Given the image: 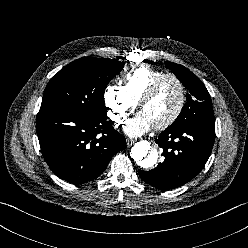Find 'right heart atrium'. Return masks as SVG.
<instances>
[{
	"mask_svg": "<svg viewBox=\"0 0 248 248\" xmlns=\"http://www.w3.org/2000/svg\"><path fill=\"white\" fill-rule=\"evenodd\" d=\"M104 101L108 115L116 124H122L134 112L136 104L126 95L124 89L118 85H108L104 91Z\"/></svg>",
	"mask_w": 248,
	"mask_h": 248,
	"instance_id": "obj_1",
	"label": "right heart atrium"
}]
</instances>
